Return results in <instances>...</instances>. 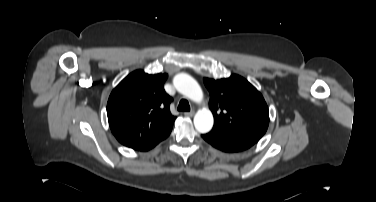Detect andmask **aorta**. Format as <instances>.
<instances>
[{
  "label": "aorta",
  "mask_w": 376,
  "mask_h": 202,
  "mask_svg": "<svg viewBox=\"0 0 376 202\" xmlns=\"http://www.w3.org/2000/svg\"><path fill=\"white\" fill-rule=\"evenodd\" d=\"M177 91L194 102L203 100V92L197 81L188 74H177L173 79ZM214 119L210 110H199L194 116V126L200 133H207L213 127Z\"/></svg>",
  "instance_id": "1"
}]
</instances>
